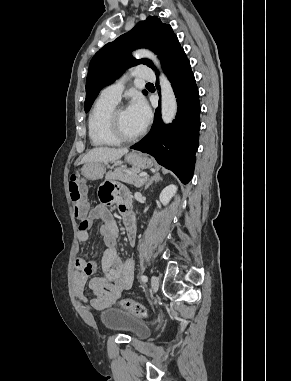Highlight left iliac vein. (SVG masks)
<instances>
[{
	"label": "left iliac vein",
	"instance_id": "left-iliac-vein-1",
	"mask_svg": "<svg viewBox=\"0 0 291 381\" xmlns=\"http://www.w3.org/2000/svg\"><path fill=\"white\" fill-rule=\"evenodd\" d=\"M158 287H159V280L155 275H153L151 277V288L153 293H156L158 291Z\"/></svg>",
	"mask_w": 291,
	"mask_h": 381
}]
</instances>
